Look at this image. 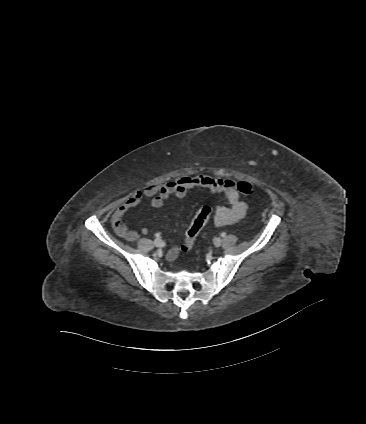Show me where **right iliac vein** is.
Returning <instances> with one entry per match:
<instances>
[{"label":"right iliac vein","mask_w":366,"mask_h":424,"mask_svg":"<svg viewBox=\"0 0 366 424\" xmlns=\"http://www.w3.org/2000/svg\"><path fill=\"white\" fill-rule=\"evenodd\" d=\"M154 245H155L156 247H161V246L163 245V242H162V240H161L160 238H156V239L154 240Z\"/></svg>","instance_id":"right-iliac-vein-1"}]
</instances>
